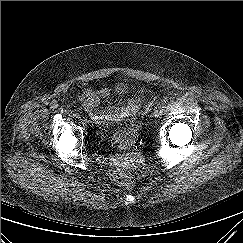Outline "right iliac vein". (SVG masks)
<instances>
[{
  "label": "right iliac vein",
  "instance_id": "1",
  "mask_svg": "<svg viewBox=\"0 0 243 243\" xmlns=\"http://www.w3.org/2000/svg\"><path fill=\"white\" fill-rule=\"evenodd\" d=\"M80 120H81L83 123H86V122H87V119H86L84 116H81V117H80Z\"/></svg>",
  "mask_w": 243,
  "mask_h": 243
}]
</instances>
